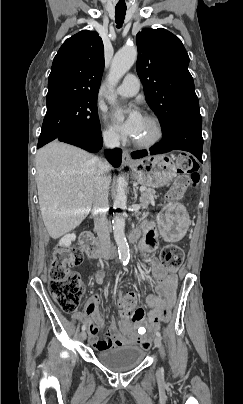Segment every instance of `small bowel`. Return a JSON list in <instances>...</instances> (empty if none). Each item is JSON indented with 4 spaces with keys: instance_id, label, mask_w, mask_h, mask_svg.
I'll use <instances>...</instances> for the list:
<instances>
[{
    "instance_id": "small-bowel-1",
    "label": "small bowel",
    "mask_w": 243,
    "mask_h": 404,
    "mask_svg": "<svg viewBox=\"0 0 243 404\" xmlns=\"http://www.w3.org/2000/svg\"><path fill=\"white\" fill-rule=\"evenodd\" d=\"M158 244V234L153 224H146L142 230V239L139 243L140 251L146 255L147 262L154 271L158 280L157 295H149L146 299L150 307L148 313L142 308H137L130 316L124 317L120 327L112 323L109 334L99 339V296L94 294L88 300L85 314L78 317L88 324L89 342L96 350H106L113 347L135 344L145 335H153L159 328L163 316L170 313L175 301V290L178 278L168 274L158 260L152 257V253ZM103 274L98 273V282L102 281Z\"/></svg>"
}]
</instances>
